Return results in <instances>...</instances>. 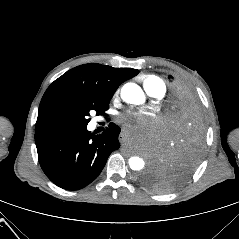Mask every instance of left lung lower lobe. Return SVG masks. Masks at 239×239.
<instances>
[{
    "label": "left lung lower lobe",
    "instance_id": "1",
    "mask_svg": "<svg viewBox=\"0 0 239 239\" xmlns=\"http://www.w3.org/2000/svg\"><path fill=\"white\" fill-rule=\"evenodd\" d=\"M189 115H191L190 119H191L192 123L195 125L193 127H197L196 129H199L201 127V124L203 123L202 113L199 112V111H195V112H192V114H189ZM168 139H169V136L167 137V141H168ZM155 163H157L156 159L153 161L152 165H154Z\"/></svg>",
    "mask_w": 239,
    "mask_h": 239
}]
</instances>
